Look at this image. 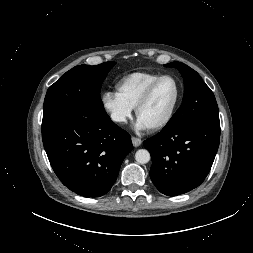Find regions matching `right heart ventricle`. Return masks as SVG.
Segmentation results:
<instances>
[{
	"label": "right heart ventricle",
	"instance_id": "1",
	"mask_svg": "<svg viewBox=\"0 0 253 253\" xmlns=\"http://www.w3.org/2000/svg\"><path fill=\"white\" fill-rule=\"evenodd\" d=\"M161 74L152 72H134L122 77L116 83L117 96L133 109L148 86Z\"/></svg>",
	"mask_w": 253,
	"mask_h": 253
}]
</instances>
